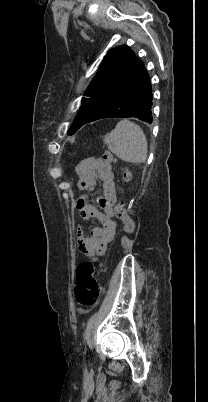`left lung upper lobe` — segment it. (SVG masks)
Returning a JSON list of instances; mask_svg holds the SVG:
<instances>
[{
    "instance_id": "5c2ea615",
    "label": "left lung upper lobe",
    "mask_w": 208,
    "mask_h": 402,
    "mask_svg": "<svg viewBox=\"0 0 208 402\" xmlns=\"http://www.w3.org/2000/svg\"><path fill=\"white\" fill-rule=\"evenodd\" d=\"M143 67L142 61L127 45L110 50L84 93L89 98H82V105L68 133L72 135L84 124L97 120L121 97Z\"/></svg>"
}]
</instances>
